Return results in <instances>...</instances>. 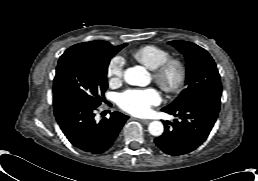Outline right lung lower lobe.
Instances as JSON below:
<instances>
[{"mask_svg": "<svg viewBox=\"0 0 258 181\" xmlns=\"http://www.w3.org/2000/svg\"><path fill=\"white\" fill-rule=\"evenodd\" d=\"M96 108L79 102L62 101L54 104V114L73 146L88 153L101 154L113 145L129 117L114 112L109 119L103 118L97 123L94 119Z\"/></svg>", "mask_w": 258, "mask_h": 181, "instance_id": "1", "label": "right lung lower lobe"}]
</instances>
